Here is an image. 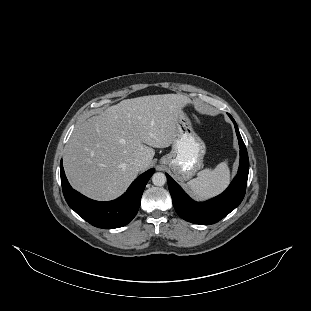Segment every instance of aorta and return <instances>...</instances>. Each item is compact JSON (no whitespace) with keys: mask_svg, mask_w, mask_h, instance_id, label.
Segmentation results:
<instances>
[{"mask_svg":"<svg viewBox=\"0 0 311 311\" xmlns=\"http://www.w3.org/2000/svg\"><path fill=\"white\" fill-rule=\"evenodd\" d=\"M152 182L155 186H163L167 182L166 175L162 172H156L152 176Z\"/></svg>","mask_w":311,"mask_h":311,"instance_id":"aorta-1","label":"aorta"}]
</instances>
